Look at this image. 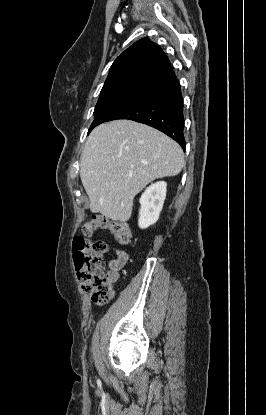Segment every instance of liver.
I'll list each match as a JSON object with an SVG mask.
<instances>
[{"label":"liver","instance_id":"6515ba94","mask_svg":"<svg viewBox=\"0 0 266 415\" xmlns=\"http://www.w3.org/2000/svg\"><path fill=\"white\" fill-rule=\"evenodd\" d=\"M183 166V150L174 140L147 125L115 120L89 135L80 178L92 213L126 222L136 194L155 179L178 175Z\"/></svg>","mask_w":266,"mask_h":415}]
</instances>
